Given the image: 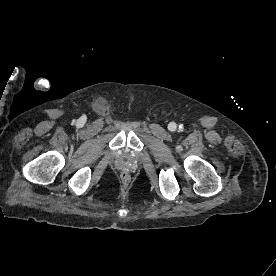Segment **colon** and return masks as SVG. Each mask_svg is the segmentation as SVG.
Segmentation results:
<instances>
[{"instance_id": "1", "label": "colon", "mask_w": 276, "mask_h": 276, "mask_svg": "<svg viewBox=\"0 0 276 276\" xmlns=\"http://www.w3.org/2000/svg\"><path fill=\"white\" fill-rule=\"evenodd\" d=\"M121 178H122V180L124 181V182H127L128 181V175L126 174V173H122V175H121Z\"/></svg>"}]
</instances>
